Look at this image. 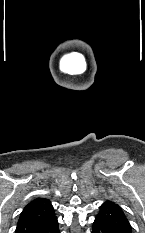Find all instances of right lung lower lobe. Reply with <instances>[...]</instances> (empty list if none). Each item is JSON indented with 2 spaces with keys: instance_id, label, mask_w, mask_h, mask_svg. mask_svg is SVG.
<instances>
[{
  "instance_id": "1",
  "label": "right lung lower lobe",
  "mask_w": 145,
  "mask_h": 233,
  "mask_svg": "<svg viewBox=\"0 0 145 233\" xmlns=\"http://www.w3.org/2000/svg\"><path fill=\"white\" fill-rule=\"evenodd\" d=\"M35 233H60L57 218L52 220L48 225L36 231Z\"/></svg>"
}]
</instances>
